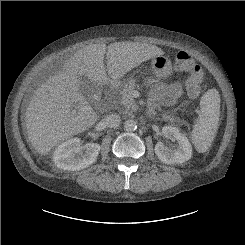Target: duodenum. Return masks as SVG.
I'll return each instance as SVG.
<instances>
[{"label":"duodenum","mask_w":245,"mask_h":245,"mask_svg":"<svg viewBox=\"0 0 245 245\" xmlns=\"http://www.w3.org/2000/svg\"><path fill=\"white\" fill-rule=\"evenodd\" d=\"M118 83H119V82H118L117 80H113V81H111V82L109 83V86H110V87H114V86H116ZM114 110H115V109H114L113 106H111V107L109 108V112H113Z\"/></svg>","instance_id":"obj_1"}]
</instances>
